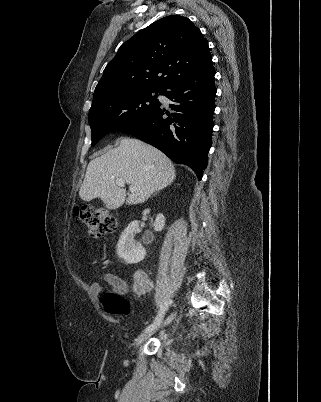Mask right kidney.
I'll list each match as a JSON object with an SVG mask.
<instances>
[{
  "mask_svg": "<svg viewBox=\"0 0 321 402\" xmlns=\"http://www.w3.org/2000/svg\"><path fill=\"white\" fill-rule=\"evenodd\" d=\"M165 225V217L158 214L154 221V230L161 231ZM139 232V222L137 220L128 224L122 232L117 243V253L127 264H135L142 261L146 255V250L141 243H137L135 235Z\"/></svg>",
  "mask_w": 321,
  "mask_h": 402,
  "instance_id": "obj_1",
  "label": "right kidney"
}]
</instances>
